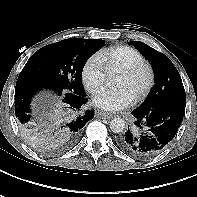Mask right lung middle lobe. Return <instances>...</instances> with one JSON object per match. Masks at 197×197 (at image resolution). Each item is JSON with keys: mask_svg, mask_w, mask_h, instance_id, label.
Listing matches in <instances>:
<instances>
[{"mask_svg": "<svg viewBox=\"0 0 197 197\" xmlns=\"http://www.w3.org/2000/svg\"><path fill=\"white\" fill-rule=\"evenodd\" d=\"M104 45L101 39H65L36 51L22 72L47 77L62 91L85 96L81 79L83 67Z\"/></svg>", "mask_w": 197, "mask_h": 197, "instance_id": "right-lung-middle-lobe-1", "label": "right lung middle lobe"}]
</instances>
